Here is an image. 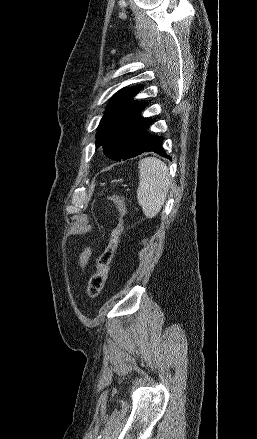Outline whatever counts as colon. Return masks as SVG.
<instances>
[{"label": "colon", "mask_w": 257, "mask_h": 439, "mask_svg": "<svg viewBox=\"0 0 257 439\" xmlns=\"http://www.w3.org/2000/svg\"><path fill=\"white\" fill-rule=\"evenodd\" d=\"M108 200L116 207L118 220H117V224L112 230L111 237L107 246L96 259V263H95L96 269L94 274L89 279L87 286V292L91 297L98 296L104 287V284L106 282L110 270V265L117 248L118 239L121 232L122 219L124 218L127 212L126 201L122 196L113 195L110 196ZM90 256H91V248L86 247L80 254V265L82 268H84L87 265Z\"/></svg>", "instance_id": "5ec220e1"}]
</instances>
